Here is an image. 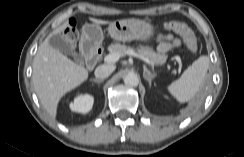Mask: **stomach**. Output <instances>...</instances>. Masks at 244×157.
<instances>
[{"label":"stomach","instance_id":"obj_1","mask_svg":"<svg viewBox=\"0 0 244 157\" xmlns=\"http://www.w3.org/2000/svg\"><path fill=\"white\" fill-rule=\"evenodd\" d=\"M110 36L117 41L148 40L154 34V26L143 19H122L111 22L108 27ZM103 32L97 24H85L82 28L81 44L96 47L103 41Z\"/></svg>","mask_w":244,"mask_h":157}]
</instances>
